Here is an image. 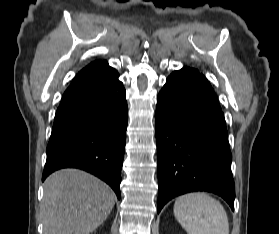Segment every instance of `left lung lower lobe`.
<instances>
[{
	"label": "left lung lower lobe",
	"instance_id": "1",
	"mask_svg": "<svg viewBox=\"0 0 279 234\" xmlns=\"http://www.w3.org/2000/svg\"><path fill=\"white\" fill-rule=\"evenodd\" d=\"M158 213L192 191L223 197L234 210L232 155L224 114L208 80L192 68L174 71L157 97Z\"/></svg>",
	"mask_w": 279,
	"mask_h": 234
}]
</instances>
